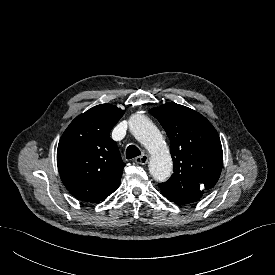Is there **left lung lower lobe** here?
Returning <instances> with one entry per match:
<instances>
[{"instance_id":"1","label":"left lung lower lobe","mask_w":275,"mask_h":275,"mask_svg":"<svg viewBox=\"0 0 275 275\" xmlns=\"http://www.w3.org/2000/svg\"><path fill=\"white\" fill-rule=\"evenodd\" d=\"M187 203H192V202L177 203V204L183 205V204H187Z\"/></svg>"}]
</instances>
